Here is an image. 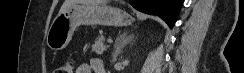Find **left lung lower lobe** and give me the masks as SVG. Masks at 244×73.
Returning a JSON list of instances; mask_svg holds the SVG:
<instances>
[{"label":"left lung lower lobe","instance_id":"obj_1","mask_svg":"<svg viewBox=\"0 0 244 73\" xmlns=\"http://www.w3.org/2000/svg\"><path fill=\"white\" fill-rule=\"evenodd\" d=\"M131 5L146 14L157 15L162 18L170 28L177 20L184 0H129Z\"/></svg>","mask_w":244,"mask_h":73}]
</instances>
